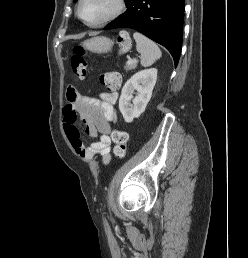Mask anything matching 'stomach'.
Listing matches in <instances>:
<instances>
[{
    "instance_id": "obj_1",
    "label": "stomach",
    "mask_w": 248,
    "mask_h": 258,
    "mask_svg": "<svg viewBox=\"0 0 248 258\" xmlns=\"http://www.w3.org/2000/svg\"><path fill=\"white\" fill-rule=\"evenodd\" d=\"M83 47L93 53H107L113 47V41L104 36H97L83 42Z\"/></svg>"
}]
</instances>
